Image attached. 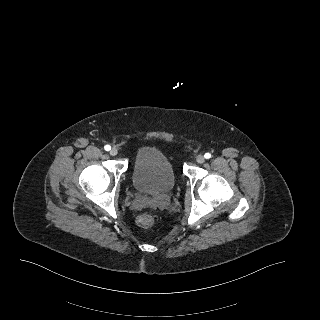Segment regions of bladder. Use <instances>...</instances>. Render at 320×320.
<instances>
[{"label":"bladder","mask_w":320,"mask_h":320,"mask_svg":"<svg viewBox=\"0 0 320 320\" xmlns=\"http://www.w3.org/2000/svg\"><path fill=\"white\" fill-rule=\"evenodd\" d=\"M134 187L143 194H166L176 184L174 168L167 156L155 147L138 150L132 171Z\"/></svg>","instance_id":"31cf9c89"}]
</instances>
